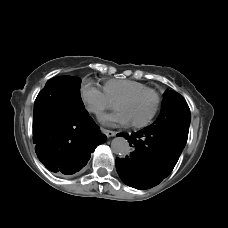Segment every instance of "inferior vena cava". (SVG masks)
<instances>
[{
	"label": "inferior vena cava",
	"mask_w": 228,
	"mask_h": 228,
	"mask_svg": "<svg viewBox=\"0 0 228 228\" xmlns=\"http://www.w3.org/2000/svg\"><path fill=\"white\" fill-rule=\"evenodd\" d=\"M90 110L96 114H99L101 112V109L99 107H91Z\"/></svg>",
	"instance_id": "1"
}]
</instances>
